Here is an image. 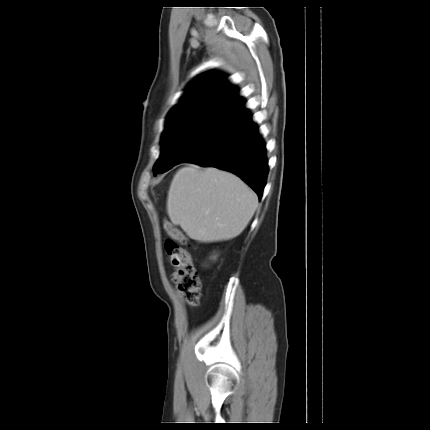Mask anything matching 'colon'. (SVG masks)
I'll list each match as a JSON object with an SVG mask.
<instances>
[{"label": "colon", "mask_w": 430, "mask_h": 430, "mask_svg": "<svg viewBox=\"0 0 430 430\" xmlns=\"http://www.w3.org/2000/svg\"><path fill=\"white\" fill-rule=\"evenodd\" d=\"M164 229L169 236L165 241V250L170 263L175 268L171 280L186 303L196 306L201 296V282L196 273L192 256L185 248L188 239L179 228L171 223H165Z\"/></svg>", "instance_id": "obj_1"}]
</instances>
